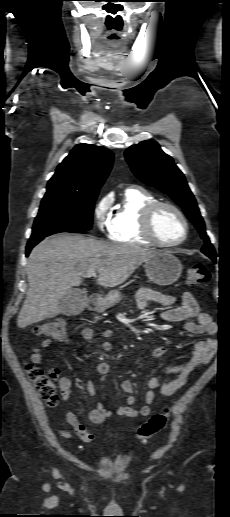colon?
Masks as SVG:
<instances>
[{
  "mask_svg": "<svg viewBox=\"0 0 230 517\" xmlns=\"http://www.w3.org/2000/svg\"><path fill=\"white\" fill-rule=\"evenodd\" d=\"M210 279L209 270L202 264H195L187 272V281L190 285L205 284ZM37 335L47 336L54 339H65L67 330L64 322L60 320L38 324L34 328ZM27 375L33 382L42 399L48 406H53L57 400L56 380L58 373L53 369L28 364ZM168 411L153 415L137 431L140 440H146L161 431L168 422Z\"/></svg>",
  "mask_w": 230,
  "mask_h": 517,
  "instance_id": "colon-1",
  "label": "colon"
}]
</instances>
